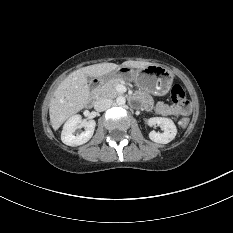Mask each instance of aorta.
Here are the masks:
<instances>
[{"label":"aorta","mask_w":233,"mask_h":233,"mask_svg":"<svg viewBox=\"0 0 233 233\" xmlns=\"http://www.w3.org/2000/svg\"><path fill=\"white\" fill-rule=\"evenodd\" d=\"M116 103H117V105H119V106L124 105V104L126 103V99H125V97H123V96H119V97H117V99H116Z\"/></svg>","instance_id":"obj_1"}]
</instances>
